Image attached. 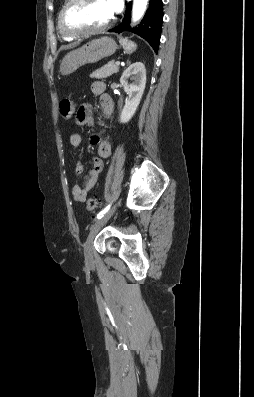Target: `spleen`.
<instances>
[{"label":"spleen","mask_w":254,"mask_h":397,"mask_svg":"<svg viewBox=\"0 0 254 397\" xmlns=\"http://www.w3.org/2000/svg\"><path fill=\"white\" fill-rule=\"evenodd\" d=\"M119 42L122 45V47L124 48L125 52L128 54L133 53L137 48L136 43L128 40L127 38H120Z\"/></svg>","instance_id":"1"}]
</instances>
